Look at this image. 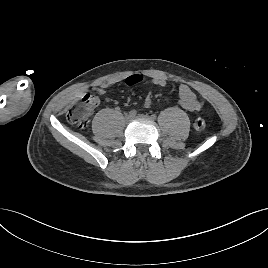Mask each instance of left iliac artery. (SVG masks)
<instances>
[{
    "mask_svg": "<svg viewBox=\"0 0 268 268\" xmlns=\"http://www.w3.org/2000/svg\"><path fill=\"white\" fill-rule=\"evenodd\" d=\"M151 118H152V119H156V115H155V114H152V115H151Z\"/></svg>",
    "mask_w": 268,
    "mask_h": 268,
    "instance_id": "44dca946",
    "label": "left iliac artery"
}]
</instances>
